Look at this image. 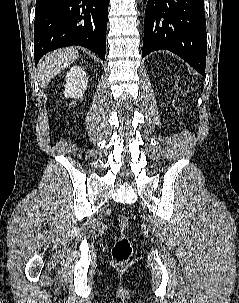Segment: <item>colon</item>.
Listing matches in <instances>:
<instances>
[{"instance_id":"1","label":"colon","mask_w":239,"mask_h":303,"mask_svg":"<svg viewBox=\"0 0 239 303\" xmlns=\"http://www.w3.org/2000/svg\"><path fill=\"white\" fill-rule=\"evenodd\" d=\"M130 227V220L127 216L122 215L119 218L120 234L118 235L112 249V257L117 263L127 262L132 254V244L127 235V230Z\"/></svg>"}]
</instances>
